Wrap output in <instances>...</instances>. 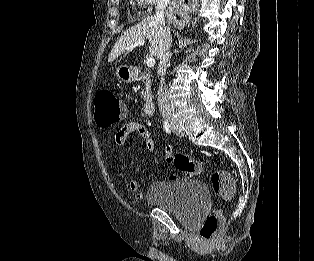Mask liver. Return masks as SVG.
Wrapping results in <instances>:
<instances>
[{"label": "liver", "instance_id": "liver-1", "mask_svg": "<svg viewBox=\"0 0 314 261\" xmlns=\"http://www.w3.org/2000/svg\"><path fill=\"white\" fill-rule=\"evenodd\" d=\"M168 31L154 16L145 18L140 23L126 30L119 37L108 57V62H112L118 58L130 45L139 40L145 41L146 39H148L150 44V55L159 59L168 44Z\"/></svg>", "mask_w": 314, "mask_h": 261}]
</instances>
